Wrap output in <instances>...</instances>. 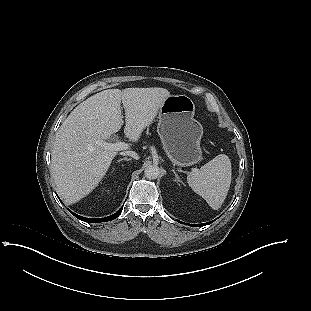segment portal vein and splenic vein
<instances>
[{
    "label": "portal vein and splenic vein",
    "mask_w": 311,
    "mask_h": 311,
    "mask_svg": "<svg viewBox=\"0 0 311 311\" xmlns=\"http://www.w3.org/2000/svg\"><path fill=\"white\" fill-rule=\"evenodd\" d=\"M101 145L106 150L121 151V150L128 149V144L121 142V141H116L115 143H108V142L102 141Z\"/></svg>",
    "instance_id": "portal-vein-and-splenic-vein-1"
}]
</instances>
